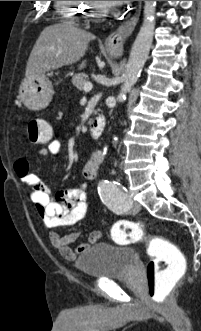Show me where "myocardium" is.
Returning <instances> with one entry per match:
<instances>
[{
  "label": "myocardium",
  "instance_id": "f54148a6",
  "mask_svg": "<svg viewBox=\"0 0 201 331\" xmlns=\"http://www.w3.org/2000/svg\"><path fill=\"white\" fill-rule=\"evenodd\" d=\"M87 17L99 20L108 14L109 10L101 1H88Z\"/></svg>",
  "mask_w": 201,
  "mask_h": 331
}]
</instances>
